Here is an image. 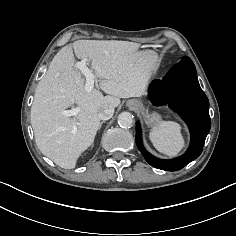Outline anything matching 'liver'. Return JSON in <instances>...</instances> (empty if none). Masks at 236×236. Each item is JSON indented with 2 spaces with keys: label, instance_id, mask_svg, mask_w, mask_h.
I'll use <instances>...</instances> for the list:
<instances>
[{
  "label": "liver",
  "instance_id": "6515ba94",
  "mask_svg": "<svg viewBox=\"0 0 236 236\" xmlns=\"http://www.w3.org/2000/svg\"><path fill=\"white\" fill-rule=\"evenodd\" d=\"M118 40H77L63 47L39 81L31 106V125L43 155L64 169H73L81 154L93 143L105 105L117 107L120 98L146 94L151 70L156 66L153 50ZM75 56L90 62L98 89L85 90V78L75 68ZM76 104L74 117L62 111Z\"/></svg>",
  "mask_w": 236,
  "mask_h": 236
}]
</instances>
